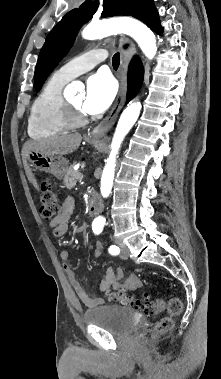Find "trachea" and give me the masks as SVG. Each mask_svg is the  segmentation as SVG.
I'll use <instances>...</instances> for the list:
<instances>
[{"mask_svg":"<svg viewBox=\"0 0 221 379\" xmlns=\"http://www.w3.org/2000/svg\"><path fill=\"white\" fill-rule=\"evenodd\" d=\"M119 63H120V55L119 53H116L112 58V65L114 69H117L119 67Z\"/></svg>","mask_w":221,"mask_h":379,"instance_id":"obj_1","label":"trachea"}]
</instances>
